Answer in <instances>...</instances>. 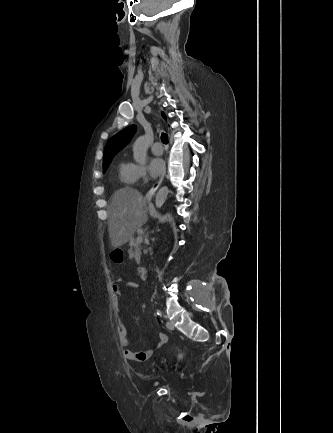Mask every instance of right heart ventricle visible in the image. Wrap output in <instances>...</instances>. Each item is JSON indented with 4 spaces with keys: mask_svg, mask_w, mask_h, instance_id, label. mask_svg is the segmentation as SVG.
Returning <instances> with one entry per match:
<instances>
[{
    "mask_svg": "<svg viewBox=\"0 0 333 433\" xmlns=\"http://www.w3.org/2000/svg\"><path fill=\"white\" fill-rule=\"evenodd\" d=\"M119 181L123 186H131L136 180L134 164L125 160H121L117 165Z\"/></svg>",
    "mask_w": 333,
    "mask_h": 433,
    "instance_id": "right-heart-ventricle-1",
    "label": "right heart ventricle"
}]
</instances>
